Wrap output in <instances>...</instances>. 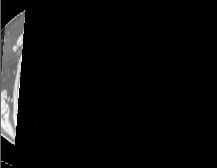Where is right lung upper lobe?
<instances>
[{"instance_id": "1", "label": "right lung upper lobe", "mask_w": 217, "mask_h": 168, "mask_svg": "<svg viewBox=\"0 0 217 168\" xmlns=\"http://www.w3.org/2000/svg\"><path fill=\"white\" fill-rule=\"evenodd\" d=\"M95 27L94 20L68 18L33 44L23 81L24 102L32 116L71 97V76L77 71L83 45Z\"/></svg>"}]
</instances>
